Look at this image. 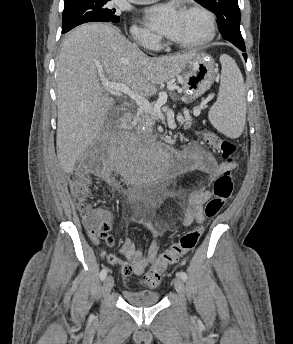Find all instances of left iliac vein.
Segmentation results:
<instances>
[{
    "label": "left iliac vein",
    "mask_w": 293,
    "mask_h": 344,
    "mask_svg": "<svg viewBox=\"0 0 293 344\" xmlns=\"http://www.w3.org/2000/svg\"><path fill=\"white\" fill-rule=\"evenodd\" d=\"M174 288L179 296L184 300L185 298V286L183 280L179 277L173 279Z\"/></svg>",
    "instance_id": "1"
}]
</instances>
